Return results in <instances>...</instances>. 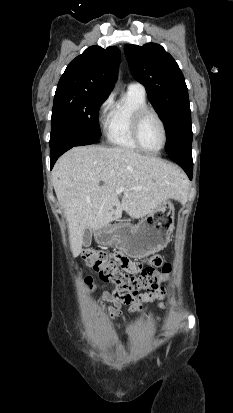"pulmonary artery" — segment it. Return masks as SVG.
Masks as SVG:
<instances>
[{
  "label": "pulmonary artery",
  "mask_w": 233,
  "mask_h": 413,
  "mask_svg": "<svg viewBox=\"0 0 233 413\" xmlns=\"http://www.w3.org/2000/svg\"><path fill=\"white\" fill-rule=\"evenodd\" d=\"M128 89L136 90V91L145 93V88H144V86H143L141 83H139V82H131V83L128 85Z\"/></svg>",
  "instance_id": "1"
}]
</instances>
